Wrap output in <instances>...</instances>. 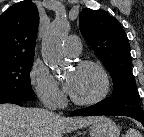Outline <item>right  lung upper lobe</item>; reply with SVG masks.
Returning <instances> with one entry per match:
<instances>
[{"label":"right lung upper lobe","instance_id":"cb5924a9","mask_svg":"<svg viewBox=\"0 0 144 137\" xmlns=\"http://www.w3.org/2000/svg\"><path fill=\"white\" fill-rule=\"evenodd\" d=\"M39 14L28 0L14 4L0 16V62L34 57Z\"/></svg>","mask_w":144,"mask_h":137}]
</instances>
